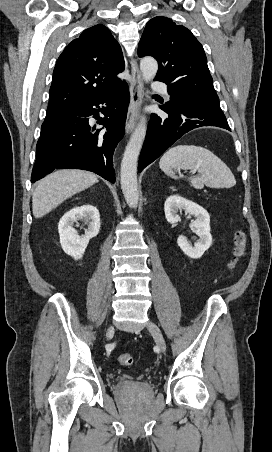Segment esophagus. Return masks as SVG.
Wrapping results in <instances>:
<instances>
[{
  "instance_id": "obj_1",
  "label": "esophagus",
  "mask_w": 272,
  "mask_h": 452,
  "mask_svg": "<svg viewBox=\"0 0 272 452\" xmlns=\"http://www.w3.org/2000/svg\"><path fill=\"white\" fill-rule=\"evenodd\" d=\"M130 64L132 81L130 84V104L125 126L127 133H130L135 127L143 98V81L138 64L133 58L130 60Z\"/></svg>"
}]
</instances>
